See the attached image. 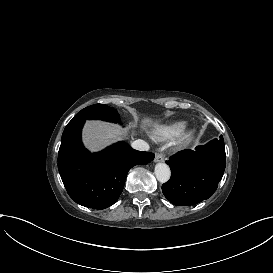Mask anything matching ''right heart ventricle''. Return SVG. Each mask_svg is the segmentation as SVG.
<instances>
[{"instance_id": "right-heart-ventricle-1", "label": "right heart ventricle", "mask_w": 273, "mask_h": 273, "mask_svg": "<svg viewBox=\"0 0 273 273\" xmlns=\"http://www.w3.org/2000/svg\"><path fill=\"white\" fill-rule=\"evenodd\" d=\"M186 126L185 121H178L171 125L158 127L154 132V139L157 141L175 140L183 133Z\"/></svg>"}]
</instances>
